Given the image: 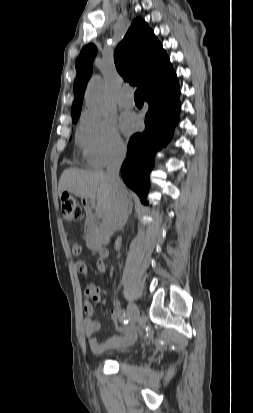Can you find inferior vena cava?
<instances>
[{"label": "inferior vena cava", "instance_id": "inferior-vena-cava-1", "mask_svg": "<svg viewBox=\"0 0 253 413\" xmlns=\"http://www.w3.org/2000/svg\"><path fill=\"white\" fill-rule=\"evenodd\" d=\"M126 156V148L118 147L113 153L106 174L113 188V200L100 226V239L107 243L112 234L121 227L127 214V192L122 180L119 178V170Z\"/></svg>", "mask_w": 253, "mask_h": 413}]
</instances>
